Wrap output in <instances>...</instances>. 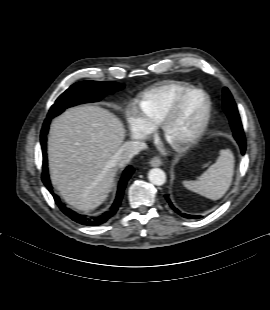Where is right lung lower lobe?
<instances>
[{
    "label": "right lung lower lobe",
    "instance_id": "obj_1",
    "mask_svg": "<svg viewBox=\"0 0 270 310\" xmlns=\"http://www.w3.org/2000/svg\"><path fill=\"white\" fill-rule=\"evenodd\" d=\"M50 121H51V118H46V120L43 124L42 131H41V146H42V151H43L42 180H43L44 185L47 187L49 192L53 195L54 200H55L56 204L58 205V207L61 209V211L64 214H66L69 218H71L73 221L80 223V224L88 225V226H97V225L105 223L108 219L113 217L116 214V212L118 211L119 206L121 204V200L123 197V193H124L127 181L134 172L133 167L129 166L125 169V171L122 175V178L119 182L116 199H115L114 203L112 204V206L109 208V210H107L103 214H101L99 216H95V217H87L86 215H81V214H78V213L72 211L71 209L67 208L60 201L59 197L56 194H54L53 187H52L51 182L49 180L48 168H47V158H46V141H47L46 135L48 133Z\"/></svg>",
    "mask_w": 270,
    "mask_h": 310
}]
</instances>
